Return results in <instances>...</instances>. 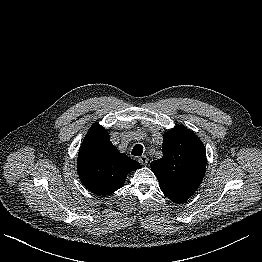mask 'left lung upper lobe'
Segmentation results:
<instances>
[{"mask_svg": "<svg viewBox=\"0 0 262 262\" xmlns=\"http://www.w3.org/2000/svg\"><path fill=\"white\" fill-rule=\"evenodd\" d=\"M163 157L151 163L160 189L175 203L187 201L200 186L206 170V152L194 132L177 125L164 134Z\"/></svg>", "mask_w": 262, "mask_h": 262, "instance_id": "1", "label": "left lung upper lobe"}]
</instances>
